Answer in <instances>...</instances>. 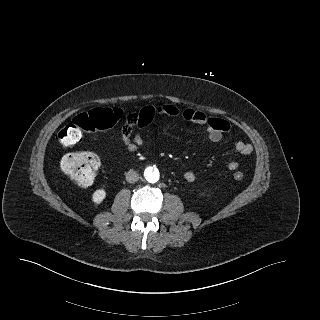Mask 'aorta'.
<instances>
[{"mask_svg":"<svg viewBox=\"0 0 320 320\" xmlns=\"http://www.w3.org/2000/svg\"><path fill=\"white\" fill-rule=\"evenodd\" d=\"M144 176L148 182L156 183L159 180L160 174L157 169L149 167L145 170Z\"/></svg>","mask_w":320,"mask_h":320,"instance_id":"obj_1","label":"aorta"}]
</instances>
